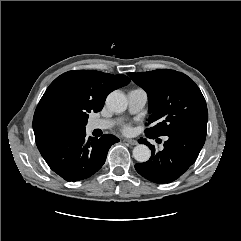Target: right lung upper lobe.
Here are the masks:
<instances>
[{
  "instance_id": "cb5924a9",
  "label": "right lung upper lobe",
  "mask_w": 241,
  "mask_h": 241,
  "mask_svg": "<svg viewBox=\"0 0 241 241\" xmlns=\"http://www.w3.org/2000/svg\"><path fill=\"white\" fill-rule=\"evenodd\" d=\"M125 75L74 70L57 77L47 88L33 117L35 137L56 131L59 125L77 128L87 123L88 113L99 112L107 95L127 85Z\"/></svg>"
}]
</instances>
